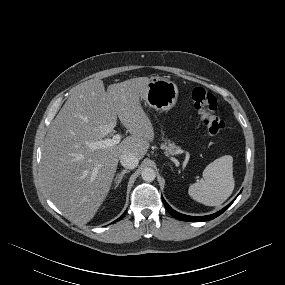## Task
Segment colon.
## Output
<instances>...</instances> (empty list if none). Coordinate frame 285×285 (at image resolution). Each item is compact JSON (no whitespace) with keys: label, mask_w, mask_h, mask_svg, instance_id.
Instances as JSON below:
<instances>
[{"label":"colon","mask_w":285,"mask_h":285,"mask_svg":"<svg viewBox=\"0 0 285 285\" xmlns=\"http://www.w3.org/2000/svg\"><path fill=\"white\" fill-rule=\"evenodd\" d=\"M191 97L194 109L208 134L212 137L220 134L225 128V123L216 114L215 96L204 88L197 87L193 89Z\"/></svg>","instance_id":"obj_1"}]
</instances>
